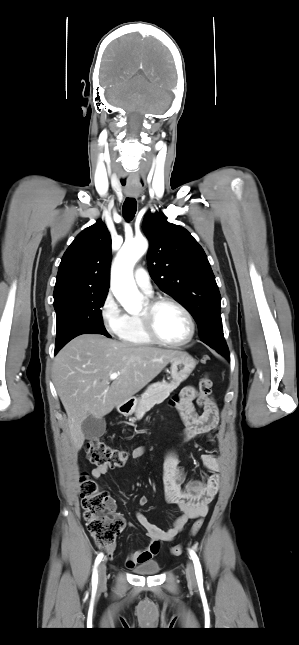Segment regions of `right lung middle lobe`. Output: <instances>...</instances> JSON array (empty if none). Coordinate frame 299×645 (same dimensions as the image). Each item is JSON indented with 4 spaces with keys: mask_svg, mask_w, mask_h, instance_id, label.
<instances>
[{
    "mask_svg": "<svg viewBox=\"0 0 299 645\" xmlns=\"http://www.w3.org/2000/svg\"><path fill=\"white\" fill-rule=\"evenodd\" d=\"M107 293L73 294L54 302L57 314L55 349H61L74 337L85 334H102L110 337L102 321L101 307Z\"/></svg>",
    "mask_w": 299,
    "mask_h": 645,
    "instance_id": "obj_1",
    "label": "right lung middle lobe"
}]
</instances>
